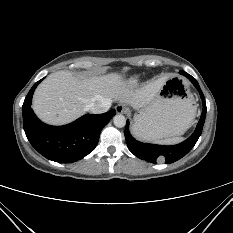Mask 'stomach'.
<instances>
[{"mask_svg":"<svg viewBox=\"0 0 233 233\" xmlns=\"http://www.w3.org/2000/svg\"><path fill=\"white\" fill-rule=\"evenodd\" d=\"M135 111L137 137L160 141L182 135L195 118L196 106L185 80L181 76L170 75L156 97Z\"/></svg>","mask_w":233,"mask_h":233,"instance_id":"stomach-1","label":"stomach"}]
</instances>
